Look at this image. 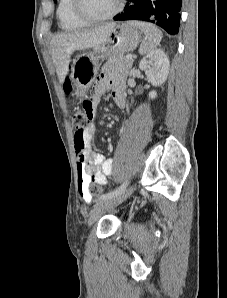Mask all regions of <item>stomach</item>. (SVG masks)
<instances>
[{
  "instance_id": "stomach-1",
  "label": "stomach",
  "mask_w": 227,
  "mask_h": 298,
  "mask_svg": "<svg viewBox=\"0 0 227 298\" xmlns=\"http://www.w3.org/2000/svg\"><path fill=\"white\" fill-rule=\"evenodd\" d=\"M141 39L139 30L127 23H118L109 37L100 45L80 54L71 65L70 79L76 86V95L83 99L99 69V60L118 57L136 49Z\"/></svg>"
}]
</instances>
